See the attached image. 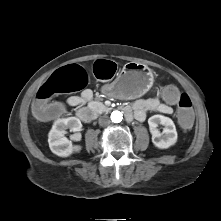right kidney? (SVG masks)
Returning <instances> with one entry per match:
<instances>
[{
    "label": "right kidney",
    "instance_id": "obj_1",
    "mask_svg": "<svg viewBox=\"0 0 221 221\" xmlns=\"http://www.w3.org/2000/svg\"><path fill=\"white\" fill-rule=\"evenodd\" d=\"M82 128L81 121L76 117H69L65 119H57L48 135V143L50 150L61 157L70 156L74 152L81 150L80 145H72V142L68 140L64 135L66 129H70L72 132L80 131ZM81 139V136L78 138Z\"/></svg>",
    "mask_w": 221,
    "mask_h": 221
}]
</instances>
